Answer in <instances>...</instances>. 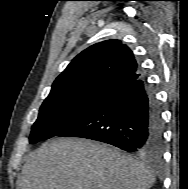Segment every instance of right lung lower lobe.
<instances>
[{"mask_svg": "<svg viewBox=\"0 0 188 189\" xmlns=\"http://www.w3.org/2000/svg\"><path fill=\"white\" fill-rule=\"evenodd\" d=\"M163 124L146 79L129 82L103 97L73 126L57 136L81 137L137 153L159 152Z\"/></svg>", "mask_w": 188, "mask_h": 189, "instance_id": "1", "label": "right lung lower lobe"}]
</instances>
